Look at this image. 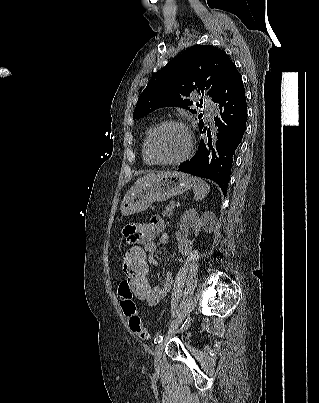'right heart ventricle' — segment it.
Here are the masks:
<instances>
[{
	"label": "right heart ventricle",
	"mask_w": 319,
	"mask_h": 403,
	"mask_svg": "<svg viewBox=\"0 0 319 403\" xmlns=\"http://www.w3.org/2000/svg\"><path fill=\"white\" fill-rule=\"evenodd\" d=\"M155 126H156V124H151V125L147 128V130H146V132H145L144 139H143V143H142V150H141V152H142V157H143L144 163L147 164V165H152V164H154V163L149 159V157H148V155H147L146 143H147V139H148V136H149L150 132L152 131V129H153Z\"/></svg>",
	"instance_id": "right-heart-ventricle-1"
}]
</instances>
